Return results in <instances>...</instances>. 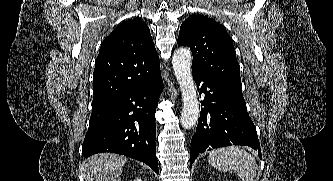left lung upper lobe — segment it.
I'll return each instance as SVG.
<instances>
[{
	"label": "left lung upper lobe",
	"instance_id": "left-lung-upper-lobe-1",
	"mask_svg": "<svg viewBox=\"0 0 333 181\" xmlns=\"http://www.w3.org/2000/svg\"><path fill=\"white\" fill-rule=\"evenodd\" d=\"M178 45L190 47L194 73L224 84L244 99L236 51L222 25L207 16L191 15L181 25Z\"/></svg>",
	"mask_w": 333,
	"mask_h": 181
}]
</instances>
